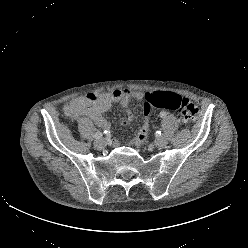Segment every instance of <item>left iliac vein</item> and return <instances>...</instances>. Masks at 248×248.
Masks as SVG:
<instances>
[{
  "label": "left iliac vein",
  "instance_id": "1",
  "mask_svg": "<svg viewBox=\"0 0 248 248\" xmlns=\"http://www.w3.org/2000/svg\"><path fill=\"white\" fill-rule=\"evenodd\" d=\"M167 144V139L165 136H158L155 140V145L157 147H164Z\"/></svg>",
  "mask_w": 248,
  "mask_h": 248
}]
</instances>
